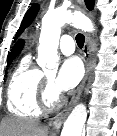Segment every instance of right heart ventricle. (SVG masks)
<instances>
[{
  "label": "right heart ventricle",
  "instance_id": "right-heart-ventricle-1",
  "mask_svg": "<svg viewBox=\"0 0 117 136\" xmlns=\"http://www.w3.org/2000/svg\"><path fill=\"white\" fill-rule=\"evenodd\" d=\"M43 82L42 71L31 63L29 55L22 58L7 87L8 110L18 116L40 117L38 96Z\"/></svg>",
  "mask_w": 117,
  "mask_h": 136
}]
</instances>
